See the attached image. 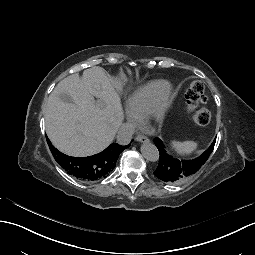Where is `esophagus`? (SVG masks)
<instances>
[{
  "mask_svg": "<svg viewBox=\"0 0 255 255\" xmlns=\"http://www.w3.org/2000/svg\"><path fill=\"white\" fill-rule=\"evenodd\" d=\"M136 141L142 142V143H148L149 139L146 136L138 135L136 136Z\"/></svg>",
  "mask_w": 255,
  "mask_h": 255,
  "instance_id": "1",
  "label": "esophagus"
}]
</instances>
